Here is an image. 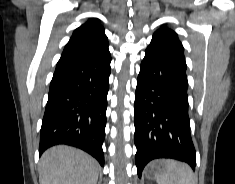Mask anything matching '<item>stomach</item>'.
Returning a JSON list of instances; mask_svg holds the SVG:
<instances>
[{
  "mask_svg": "<svg viewBox=\"0 0 235 184\" xmlns=\"http://www.w3.org/2000/svg\"><path fill=\"white\" fill-rule=\"evenodd\" d=\"M159 166H162V160H156V162H153V164H149L145 172V176L148 178V180L155 178L156 174H158Z\"/></svg>",
  "mask_w": 235,
  "mask_h": 184,
  "instance_id": "stomach-1",
  "label": "stomach"
}]
</instances>
